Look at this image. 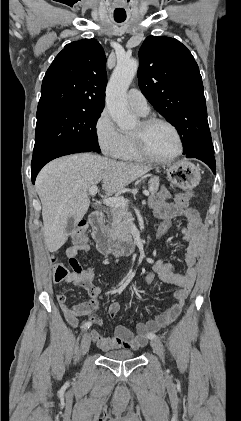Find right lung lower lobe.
Returning a JSON list of instances; mask_svg holds the SVG:
<instances>
[{
	"label": "right lung lower lobe",
	"instance_id": "obj_1",
	"mask_svg": "<svg viewBox=\"0 0 241 421\" xmlns=\"http://www.w3.org/2000/svg\"><path fill=\"white\" fill-rule=\"evenodd\" d=\"M92 150L84 147H68V148H62L54 151L47 152L45 154L35 156L32 159V167H31V178L32 183L34 184L36 176L38 172L41 170V168L47 164L49 161L64 156L69 155L73 153H80V152H90Z\"/></svg>",
	"mask_w": 241,
	"mask_h": 421
}]
</instances>
